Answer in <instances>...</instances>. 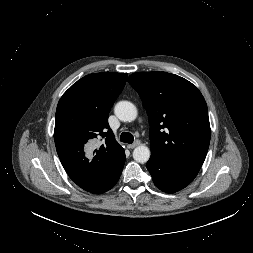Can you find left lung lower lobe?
<instances>
[{
	"label": "left lung lower lobe",
	"mask_w": 253,
	"mask_h": 253,
	"mask_svg": "<svg viewBox=\"0 0 253 253\" xmlns=\"http://www.w3.org/2000/svg\"><path fill=\"white\" fill-rule=\"evenodd\" d=\"M154 184L166 193L180 191L189 185L197 173L173 165L151 152V157L146 164Z\"/></svg>",
	"instance_id": "obj_1"
}]
</instances>
